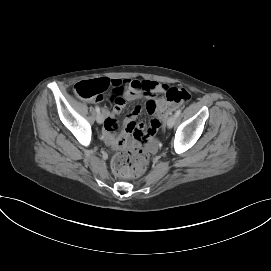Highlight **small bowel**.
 Masks as SVG:
<instances>
[{
	"mask_svg": "<svg viewBox=\"0 0 271 271\" xmlns=\"http://www.w3.org/2000/svg\"><path fill=\"white\" fill-rule=\"evenodd\" d=\"M110 85L107 88L111 95L110 101L113 104L111 111L104 110V127L103 133L106 142L113 147L121 146L132 135L135 140H140L145 132L146 125L144 123H136V119L140 113V108L136 107L130 112L124 120V131L117 136L118 124L116 115L122 112L126 101H133L145 98L146 110L159 119L166 117L168 109L172 104L161 96L165 85L155 81H139V80H109ZM153 121V120H152Z\"/></svg>",
	"mask_w": 271,
	"mask_h": 271,
	"instance_id": "obj_1",
	"label": "small bowel"
}]
</instances>
